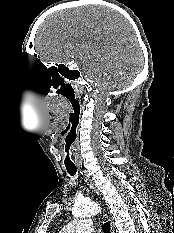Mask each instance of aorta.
Wrapping results in <instances>:
<instances>
[{"instance_id": "1", "label": "aorta", "mask_w": 174, "mask_h": 233, "mask_svg": "<svg viewBox=\"0 0 174 233\" xmlns=\"http://www.w3.org/2000/svg\"><path fill=\"white\" fill-rule=\"evenodd\" d=\"M100 207L92 202H76L72 208V215L75 218L91 217L100 212Z\"/></svg>"}]
</instances>
